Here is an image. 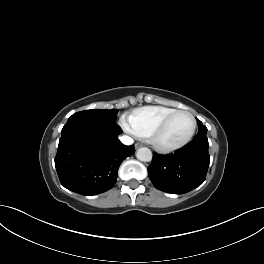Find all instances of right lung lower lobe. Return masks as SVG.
Returning <instances> with one entry per match:
<instances>
[{
    "label": "right lung lower lobe",
    "mask_w": 264,
    "mask_h": 264,
    "mask_svg": "<svg viewBox=\"0 0 264 264\" xmlns=\"http://www.w3.org/2000/svg\"><path fill=\"white\" fill-rule=\"evenodd\" d=\"M116 124L89 119L68 121L61 131L55 167L61 184L78 194L90 196L111 189L121 162L135 152L123 145Z\"/></svg>",
    "instance_id": "98d812e1"
}]
</instances>
